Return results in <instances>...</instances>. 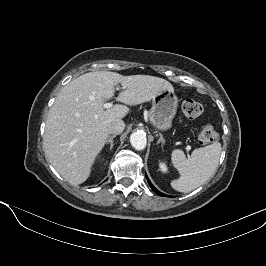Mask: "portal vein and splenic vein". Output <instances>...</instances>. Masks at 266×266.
Instances as JSON below:
<instances>
[{
  "mask_svg": "<svg viewBox=\"0 0 266 266\" xmlns=\"http://www.w3.org/2000/svg\"><path fill=\"white\" fill-rule=\"evenodd\" d=\"M113 105H112V103H105L104 105H103V107L106 109V108H110V107H112ZM187 150H190V147H188L187 148Z\"/></svg>",
  "mask_w": 266,
  "mask_h": 266,
  "instance_id": "obj_1",
  "label": "portal vein and splenic vein"
}]
</instances>
